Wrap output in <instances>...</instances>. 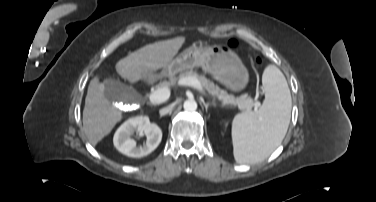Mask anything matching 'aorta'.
Returning a JSON list of instances; mask_svg holds the SVG:
<instances>
[{
    "label": "aorta",
    "mask_w": 376,
    "mask_h": 202,
    "mask_svg": "<svg viewBox=\"0 0 376 202\" xmlns=\"http://www.w3.org/2000/svg\"><path fill=\"white\" fill-rule=\"evenodd\" d=\"M183 108L187 112H193L197 110V103L195 100H186L183 104Z\"/></svg>",
    "instance_id": "aorta-1"
}]
</instances>
